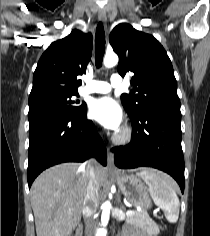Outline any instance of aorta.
<instances>
[{"mask_svg": "<svg viewBox=\"0 0 210 236\" xmlns=\"http://www.w3.org/2000/svg\"><path fill=\"white\" fill-rule=\"evenodd\" d=\"M118 56L115 53H107L104 57L103 64L107 68L114 67L118 63ZM111 203L106 201L102 205V215H101V223L103 226H106L109 221L110 216Z\"/></svg>", "mask_w": 210, "mask_h": 236, "instance_id": "aorta-1", "label": "aorta"}]
</instances>
